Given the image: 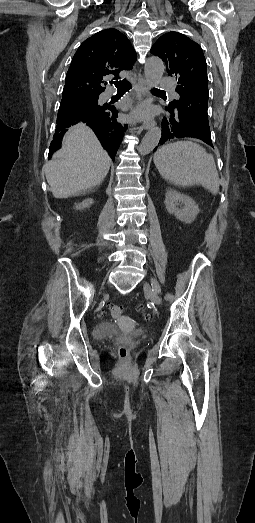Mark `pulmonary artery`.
<instances>
[{
	"label": "pulmonary artery",
	"mask_w": 255,
	"mask_h": 523,
	"mask_svg": "<svg viewBox=\"0 0 255 523\" xmlns=\"http://www.w3.org/2000/svg\"><path fill=\"white\" fill-rule=\"evenodd\" d=\"M160 84H161L160 88H162L163 90H167L169 99L171 101H176L178 99V94L176 93V90H175V88H176L175 80L173 78H170V77L163 78V79H161ZM115 94H116L115 90H113V89L107 90L108 96H113ZM173 105H176V102H173Z\"/></svg>",
	"instance_id": "obj_1"
}]
</instances>
